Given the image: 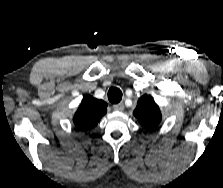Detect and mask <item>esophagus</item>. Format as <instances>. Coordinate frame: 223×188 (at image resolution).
<instances>
[{"label": "esophagus", "mask_w": 223, "mask_h": 188, "mask_svg": "<svg viewBox=\"0 0 223 188\" xmlns=\"http://www.w3.org/2000/svg\"><path fill=\"white\" fill-rule=\"evenodd\" d=\"M113 109H114L115 111H123V110H124V103H123V102H120V103H118V104H115V105L113 106Z\"/></svg>", "instance_id": "obj_1"}]
</instances>
